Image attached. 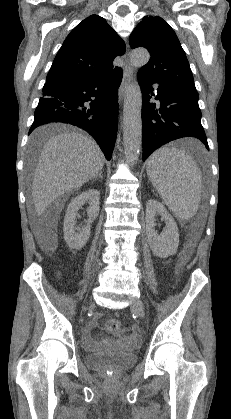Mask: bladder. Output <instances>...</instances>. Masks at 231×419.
Segmentation results:
<instances>
[{
  "mask_svg": "<svg viewBox=\"0 0 231 419\" xmlns=\"http://www.w3.org/2000/svg\"><path fill=\"white\" fill-rule=\"evenodd\" d=\"M137 355L124 351L107 353H90L85 355L84 362L88 368H114L125 369L137 363Z\"/></svg>",
  "mask_w": 231,
  "mask_h": 419,
  "instance_id": "bladder-1",
  "label": "bladder"
}]
</instances>
